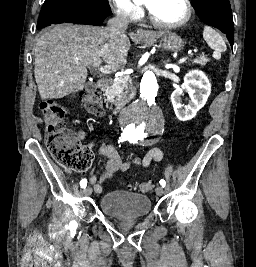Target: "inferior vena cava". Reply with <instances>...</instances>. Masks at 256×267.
I'll return each mask as SVG.
<instances>
[{"label":"inferior vena cava","instance_id":"1","mask_svg":"<svg viewBox=\"0 0 256 267\" xmlns=\"http://www.w3.org/2000/svg\"><path fill=\"white\" fill-rule=\"evenodd\" d=\"M128 24L129 18L127 12H124V10H117L115 18L108 20L106 30H108L110 34L125 38V30H127Z\"/></svg>","mask_w":256,"mask_h":267}]
</instances>
